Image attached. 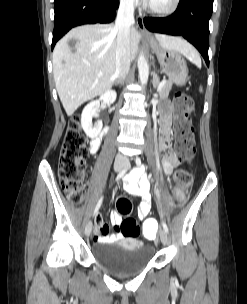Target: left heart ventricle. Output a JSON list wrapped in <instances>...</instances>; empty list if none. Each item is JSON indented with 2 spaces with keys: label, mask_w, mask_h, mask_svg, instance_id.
<instances>
[{
  "label": "left heart ventricle",
  "mask_w": 247,
  "mask_h": 304,
  "mask_svg": "<svg viewBox=\"0 0 247 304\" xmlns=\"http://www.w3.org/2000/svg\"><path fill=\"white\" fill-rule=\"evenodd\" d=\"M171 1L172 0H151L149 4L157 10H164L170 6Z\"/></svg>",
  "instance_id": "left-heart-ventricle-1"
}]
</instances>
